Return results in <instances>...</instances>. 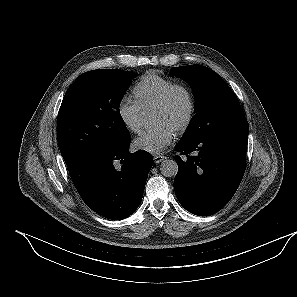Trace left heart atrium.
<instances>
[{"instance_id":"left-heart-atrium-1","label":"left heart atrium","mask_w":297,"mask_h":297,"mask_svg":"<svg viewBox=\"0 0 297 297\" xmlns=\"http://www.w3.org/2000/svg\"><path fill=\"white\" fill-rule=\"evenodd\" d=\"M175 129L166 123H159L144 130L135 140L134 146L152 154H159L173 143Z\"/></svg>"}]
</instances>
